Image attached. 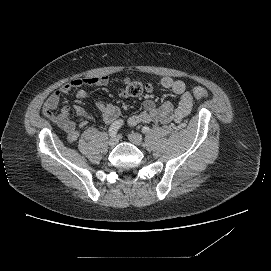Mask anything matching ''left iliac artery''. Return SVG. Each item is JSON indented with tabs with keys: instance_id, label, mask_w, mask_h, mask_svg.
<instances>
[{
	"instance_id": "left-iliac-artery-1",
	"label": "left iliac artery",
	"mask_w": 271,
	"mask_h": 271,
	"mask_svg": "<svg viewBox=\"0 0 271 271\" xmlns=\"http://www.w3.org/2000/svg\"><path fill=\"white\" fill-rule=\"evenodd\" d=\"M142 132H143L144 134H148V133L150 132V128H149L148 126H144V127L142 128Z\"/></svg>"
}]
</instances>
